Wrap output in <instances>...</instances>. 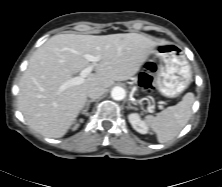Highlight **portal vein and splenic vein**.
Instances as JSON below:
<instances>
[{
	"label": "portal vein and splenic vein",
	"mask_w": 222,
	"mask_h": 187,
	"mask_svg": "<svg viewBox=\"0 0 222 187\" xmlns=\"http://www.w3.org/2000/svg\"><path fill=\"white\" fill-rule=\"evenodd\" d=\"M83 57L87 61L92 62L93 65H90L87 68L83 69L80 73V76L71 78L70 80L65 82L61 86V90H65L68 87L82 84L85 81V78L92 72V70L94 69V65L98 62V59H99L98 57L90 55V54H84ZM148 109L150 112H153V107H149Z\"/></svg>",
	"instance_id": "portal-vein-and-splenic-vein-1"
}]
</instances>
